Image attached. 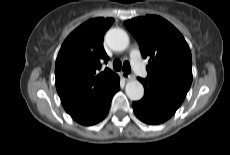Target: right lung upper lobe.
<instances>
[{
  "instance_id": "obj_1",
  "label": "right lung upper lobe",
  "mask_w": 230,
  "mask_h": 155,
  "mask_svg": "<svg viewBox=\"0 0 230 155\" xmlns=\"http://www.w3.org/2000/svg\"><path fill=\"white\" fill-rule=\"evenodd\" d=\"M113 18H95L76 28L64 41L55 66L56 89L66 112L71 114L105 96L117 74L105 68L109 59L103 48L105 32Z\"/></svg>"
}]
</instances>
